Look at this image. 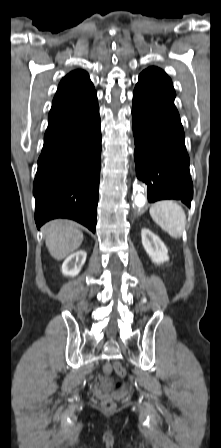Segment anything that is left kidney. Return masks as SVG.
<instances>
[{"mask_svg":"<svg viewBox=\"0 0 221 448\" xmlns=\"http://www.w3.org/2000/svg\"><path fill=\"white\" fill-rule=\"evenodd\" d=\"M141 239L144 249L156 264H161L169 260L168 249L163 241L149 229L141 230Z\"/></svg>","mask_w":221,"mask_h":448,"instance_id":"obj_1","label":"left kidney"}]
</instances>
